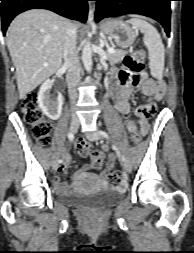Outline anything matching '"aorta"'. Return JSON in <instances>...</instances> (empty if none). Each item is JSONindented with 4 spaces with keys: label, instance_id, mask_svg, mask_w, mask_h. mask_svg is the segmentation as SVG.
<instances>
[{
    "label": "aorta",
    "instance_id": "obj_1",
    "mask_svg": "<svg viewBox=\"0 0 194 253\" xmlns=\"http://www.w3.org/2000/svg\"><path fill=\"white\" fill-rule=\"evenodd\" d=\"M87 22L92 26L94 25V10L89 11ZM82 61L86 71L90 73L92 70V50L88 40L84 41V47L82 49Z\"/></svg>",
    "mask_w": 194,
    "mask_h": 253
}]
</instances>
